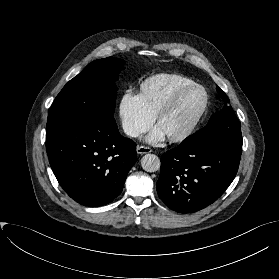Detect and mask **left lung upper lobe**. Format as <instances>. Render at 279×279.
Instances as JSON below:
<instances>
[{"mask_svg": "<svg viewBox=\"0 0 279 279\" xmlns=\"http://www.w3.org/2000/svg\"><path fill=\"white\" fill-rule=\"evenodd\" d=\"M217 92L225 101L227 95L217 86ZM222 143L242 148L241 124L231 106H224L210 118L208 124L187 137L181 144Z\"/></svg>", "mask_w": 279, "mask_h": 279, "instance_id": "1", "label": "left lung upper lobe"}]
</instances>
